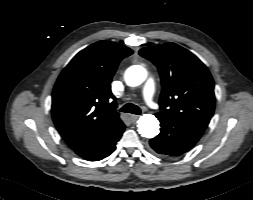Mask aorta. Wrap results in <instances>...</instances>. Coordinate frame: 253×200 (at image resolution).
<instances>
[{
    "mask_svg": "<svg viewBox=\"0 0 253 200\" xmlns=\"http://www.w3.org/2000/svg\"><path fill=\"white\" fill-rule=\"evenodd\" d=\"M147 72L139 65H133L125 73V81L129 86H138L145 81ZM138 132L142 137L154 138L159 133V122L154 115L144 114L138 120Z\"/></svg>",
    "mask_w": 253,
    "mask_h": 200,
    "instance_id": "aorta-1",
    "label": "aorta"
}]
</instances>
